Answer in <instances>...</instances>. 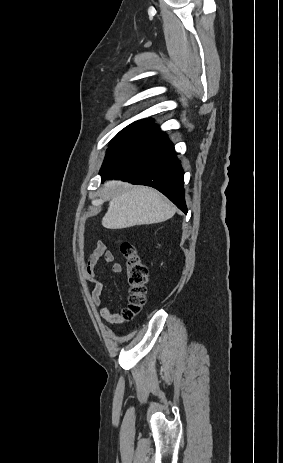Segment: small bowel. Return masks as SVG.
<instances>
[{"mask_svg": "<svg viewBox=\"0 0 283 463\" xmlns=\"http://www.w3.org/2000/svg\"><path fill=\"white\" fill-rule=\"evenodd\" d=\"M101 259H103L106 263H112V270L114 273L122 272V265L121 263L114 261L113 252L107 249V245L103 240H98L93 252L86 260L83 261L86 278L93 284L91 301L96 307L100 306L101 296L106 287V282L95 275V268ZM101 316L109 323H114L120 319V314L113 312L109 306L101 308Z\"/></svg>", "mask_w": 283, "mask_h": 463, "instance_id": "c3829d8e", "label": "small bowel"}]
</instances>
